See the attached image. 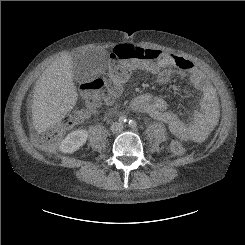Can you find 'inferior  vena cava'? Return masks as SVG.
Masks as SVG:
<instances>
[{
    "label": "inferior vena cava",
    "mask_w": 245,
    "mask_h": 245,
    "mask_svg": "<svg viewBox=\"0 0 245 245\" xmlns=\"http://www.w3.org/2000/svg\"><path fill=\"white\" fill-rule=\"evenodd\" d=\"M111 130L114 133H120L123 130V125L121 123H114L111 126Z\"/></svg>",
    "instance_id": "602c4592"
}]
</instances>
